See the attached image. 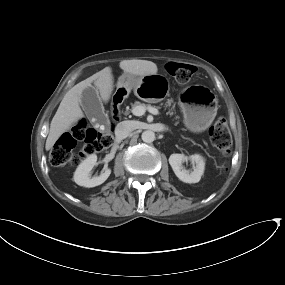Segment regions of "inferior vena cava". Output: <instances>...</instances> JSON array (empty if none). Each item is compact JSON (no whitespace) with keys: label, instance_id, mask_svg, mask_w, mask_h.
Instances as JSON below:
<instances>
[{"label":"inferior vena cava","instance_id":"obj_1","mask_svg":"<svg viewBox=\"0 0 285 285\" xmlns=\"http://www.w3.org/2000/svg\"><path fill=\"white\" fill-rule=\"evenodd\" d=\"M133 130L134 127L130 121H122L117 124L115 128V135L117 138L124 139L128 137Z\"/></svg>","mask_w":285,"mask_h":285}]
</instances>
